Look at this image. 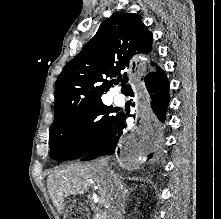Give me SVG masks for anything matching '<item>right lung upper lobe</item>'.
I'll use <instances>...</instances> for the list:
<instances>
[{"instance_id":"obj_1","label":"right lung upper lobe","mask_w":221,"mask_h":219,"mask_svg":"<svg viewBox=\"0 0 221 219\" xmlns=\"http://www.w3.org/2000/svg\"><path fill=\"white\" fill-rule=\"evenodd\" d=\"M153 35L135 13L115 12L99 27L82 51L64 67L55 85L54 121L97 101L113 86L120 72L137 75L139 56L152 49ZM124 73L122 93L128 87Z\"/></svg>"}]
</instances>
